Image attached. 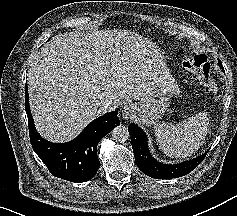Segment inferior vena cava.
<instances>
[{"label": "inferior vena cava", "instance_id": "602c4592", "mask_svg": "<svg viewBox=\"0 0 237 216\" xmlns=\"http://www.w3.org/2000/svg\"><path fill=\"white\" fill-rule=\"evenodd\" d=\"M100 105L103 111H107L119 105V102L109 98H103L100 101Z\"/></svg>", "mask_w": 237, "mask_h": 216}]
</instances>
